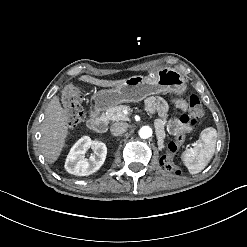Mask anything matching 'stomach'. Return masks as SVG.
<instances>
[{
  "mask_svg": "<svg viewBox=\"0 0 247 247\" xmlns=\"http://www.w3.org/2000/svg\"><path fill=\"white\" fill-rule=\"evenodd\" d=\"M187 89L185 77L177 70L164 67L152 76H132L112 89L100 90L92 96L94 108L104 111L121 103L139 102L162 92L182 95Z\"/></svg>",
  "mask_w": 247,
  "mask_h": 247,
  "instance_id": "stomach-1",
  "label": "stomach"
}]
</instances>
